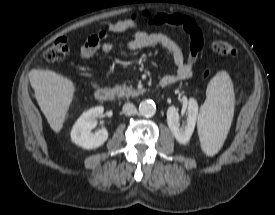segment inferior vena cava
I'll list each match as a JSON object with an SVG mask.
<instances>
[{
  "mask_svg": "<svg viewBox=\"0 0 275 215\" xmlns=\"http://www.w3.org/2000/svg\"><path fill=\"white\" fill-rule=\"evenodd\" d=\"M122 111L125 115H134L137 112V109L132 103H125L123 105Z\"/></svg>",
  "mask_w": 275,
  "mask_h": 215,
  "instance_id": "602c4592",
  "label": "inferior vena cava"
}]
</instances>
